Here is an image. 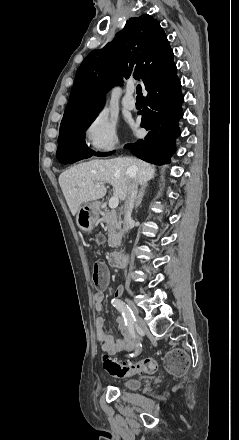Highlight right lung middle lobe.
<instances>
[{
	"mask_svg": "<svg viewBox=\"0 0 239 440\" xmlns=\"http://www.w3.org/2000/svg\"><path fill=\"white\" fill-rule=\"evenodd\" d=\"M99 112L100 110L80 115L61 123L57 152L67 147L85 144L84 132L94 121Z\"/></svg>",
	"mask_w": 239,
	"mask_h": 440,
	"instance_id": "1",
	"label": "right lung middle lobe"
}]
</instances>
